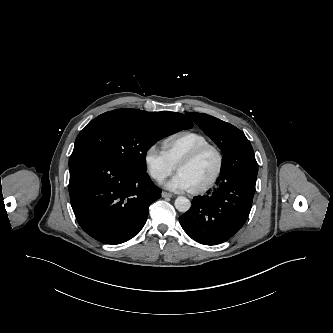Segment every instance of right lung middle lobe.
Segmentation results:
<instances>
[{
    "label": "right lung middle lobe",
    "mask_w": 333,
    "mask_h": 333,
    "mask_svg": "<svg viewBox=\"0 0 333 333\" xmlns=\"http://www.w3.org/2000/svg\"><path fill=\"white\" fill-rule=\"evenodd\" d=\"M189 128L175 119L156 122L113 110L93 119L77 136L74 149L87 147L132 171L146 172L147 150L162 137Z\"/></svg>",
    "instance_id": "1"
}]
</instances>
